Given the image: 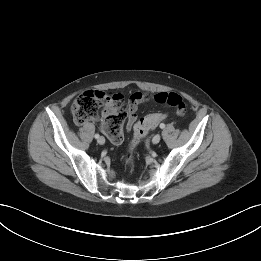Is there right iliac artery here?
<instances>
[{
  "label": "right iliac artery",
  "instance_id": "82829eb1",
  "mask_svg": "<svg viewBox=\"0 0 261 261\" xmlns=\"http://www.w3.org/2000/svg\"><path fill=\"white\" fill-rule=\"evenodd\" d=\"M96 139H98L99 138V134H95V136H94Z\"/></svg>",
  "mask_w": 261,
  "mask_h": 261
}]
</instances>
